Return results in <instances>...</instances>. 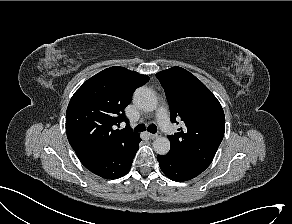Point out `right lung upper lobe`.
<instances>
[{"label": "right lung upper lobe", "instance_id": "obj_1", "mask_svg": "<svg viewBox=\"0 0 292 224\" xmlns=\"http://www.w3.org/2000/svg\"><path fill=\"white\" fill-rule=\"evenodd\" d=\"M149 77L124 67H110L88 79L72 96L66 112V133L74 148H123L139 134L129 130L124 115L133 92ZM125 122L126 128L115 129Z\"/></svg>", "mask_w": 292, "mask_h": 224}]
</instances>
